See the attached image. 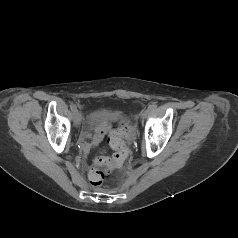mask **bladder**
I'll use <instances>...</instances> for the list:
<instances>
[{
	"instance_id": "obj_1",
	"label": "bladder",
	"mask_w": 238,
	"mask_h": 238,
	"mask_svg": "<svg viewBox=\"0 0 238 238\" xmlns=\"http://www.w3.org/2000/svg\"><path fill=\"white\" fill-rule=\"evenodd\" d=\"M91 116H104L107 118V120L110 123L118 122L119 120H121L123 118V115L121 112L111 111V110H106V109L96 111V112L92 113Z\"/></svg>"
}]
</instances>
